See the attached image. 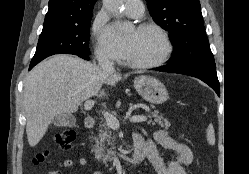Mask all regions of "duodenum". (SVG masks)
I'll list each match as a JSON object with an SVG mask.
<instances>
[{"label":"duodenum","mask_w":249,"mask_h":174,"mask_svg":"<svg viewBox=\"0 0 249 174\" xmlns=\"http://www.w3.org/2000/svg\"><path fill=\"white\" fill-rule=\"evenodd\" d=\"M84 125L87 129H92L96 125V121L93 117H87L84 121ZM146 157V146L143 144L135 143L134 152L130 165L136 167L142 163Z\"/></svg>","instance_id":"duodenum-1"}]
</instances>
